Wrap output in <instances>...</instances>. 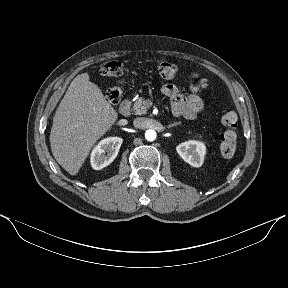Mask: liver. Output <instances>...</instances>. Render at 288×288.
Wrapping results in <instances>:
<instances>
[{
    "label": "liver",
    "instance_id": "6515ba94",
    "mask_svg": "<svg viewBox=\"0 0 288 288\" xmlns=\"http://www.w3.org/2000/svg\"><path fill=\"white\" fill-rule=\"evenodd\" d=\"M118 118L89 75L76 76L53 118L50 146L55 160L71 175L82 167L95 143Z\"/></svg>",
    "mask_w": 288,
    "mask_h": 288
}]
</instances>
